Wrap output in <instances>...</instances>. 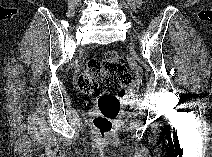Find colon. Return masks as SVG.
<instances>
[{
  "mask_svg": "<svg viewBox=\"0 0 212 157\" xmlns=\"http://www.w3.org/2000/svg\"><path fill=\"white\" fill-rule=\"evenodd\" d=\"M132 83V75L115 50L108 51L101 60H89L78 79L82 92L99 97L93 126L100 137H108L113 122L121 110L120 98Z\"/></svg>",
  "mask_w": 212,
  "mask_h": 157,
  "instance_id": "5ec220e1",
  "label": "colon"
}]
</instances>
